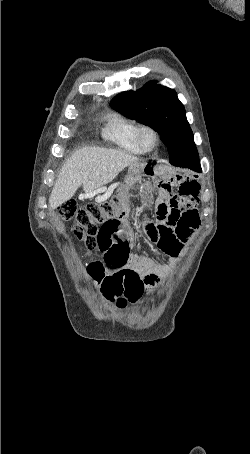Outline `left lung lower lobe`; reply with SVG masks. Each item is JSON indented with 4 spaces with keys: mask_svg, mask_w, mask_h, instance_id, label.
Here are the masks:
<instances>
[{
    "mask_svg": "<svg viewBox=\"0 0 250 454\" xmlns=\"http://www.w3.org/2000/svg\"><path fill=\"white\" fill-rule=\"evenodd\" d=\"M170 163L174 166L190 168L197 172L201 171L199 157L195 154L185 153L184 155L171 156Z\"/></svg>",
    "mask_w": 250,
    "mask_h": 454,
    "instance_id": "0a47b994",
    "label": "left lung lower lobe"
}]
</instances>
